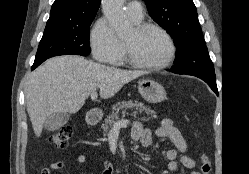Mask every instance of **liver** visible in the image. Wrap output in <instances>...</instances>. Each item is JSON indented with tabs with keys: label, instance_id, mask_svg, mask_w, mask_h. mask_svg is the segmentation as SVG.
Listing matches in <instances>:
<instances>
[{
	"label": "liver",
	"instance_id": "6515ba94",
	"mask_svg": "<svg viewBox=\"0 0 249 174\" xmlns=\"http://www.w3.org/2000/svg\"><path fill=\"white\" fill-rule=\"evenodd\" d=\"M146 74L109 67L79 56H59L33 71L26 84V105L34 133L40 136L54 113H76L97 89L113 97L125 84Z\"/></svg>",
	"mask_w": 249,
	"mask_h": 174
}]
</instances>
